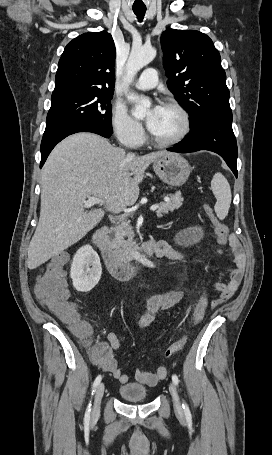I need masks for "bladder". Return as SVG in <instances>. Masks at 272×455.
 I'll list each match as a JSON object with an SVG mask.
<instances>
[{
	"label": "bladder",
	"instance_id": "bladder-1",
	"mask_svg": "<svg viewBox=\"0 0 272 455\" xmlns=\"http://www.w3.org/2000/svg\"><path fill=\"white\" fill-rule=\"evenodd\" d=\"M118 393L121 398L128 402H143L147 399V389L138 383H127L121 385L118 389Z\"/></svg>",
	"mask_w": 272,
	"mask_h": 455
}]
</instances>
